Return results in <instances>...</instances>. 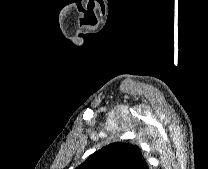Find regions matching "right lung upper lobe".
<instances>
[{
  "instance_id": "obj_1",
  "label": "right lung upper lobe",
  "mask_w": 208,
  "mask_h": 169,
  "mask_svg": "<svg viewBox=\"0 0 208 169\" xmlns=\"http://www.w3.org/2000/svg\"><path fill=\"white\" fill-rule=\"evenodd\" d=\"M76 169H148L138 146L111 143L90 155Z\"/></svg>"
}]
</instances>
